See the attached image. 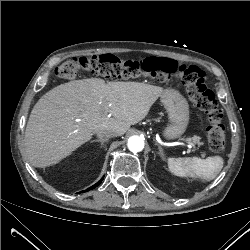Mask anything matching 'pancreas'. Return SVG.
<instances>
[{
  "label": "pancreas",
  "instance_id": "cf45deb5",
  "mask_svg": "<svg viewBox=\"0 0 250 250\" xmlns=\"http://www.w3.org/2000/svg\"><path fill=\"white\" fill-rule=\"evenodd\" d=\"M194 142L197 143L199 146L202 145V143L200 142V138L199 137H195L194 138Z\"/></svg>",
  "mask_w": 250,
  "mask_h": 250
}]
</instances>
